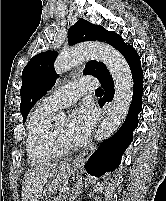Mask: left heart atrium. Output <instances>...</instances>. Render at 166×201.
Here are the masks:
<instances>
[{
  "label": "left heart atrium",
  "instance_id": "1",
  "mask_svg": "<svg viewBox=\"0 0 166 201\" xmlns=\"http://www.w3.org/2000/svg\"><path fill=\"white\" fill-rule=\"evenodd\" d=\"M94 122V112L88 105H83L72 112L68 123V134L75 146L82 145L86 141Z\"/></svg>",
  "mask_w": 166,
  "mask_h": 201
}]
</instances>
